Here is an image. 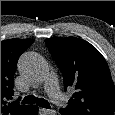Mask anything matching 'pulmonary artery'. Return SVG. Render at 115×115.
I'll return each instance as SVG.
<instances>
[{
	"mask_svg": "<svg viewBox=\"0 0 115 115\" xmlns=\"http://www.w3.org/2000/svg\"><path fill=\"white\" fill-rule=\"evenodd\" d=\"M44 88L52 100L58 104H61L65 101L64 95L60 92L56 80V76L52 72H47L44 77Z\"/></svg>",
	"mask_w": 115,
	"mask_h": 115,
	"instance_id": "pulmonary-artery-1",
	"label": "pulmonary artery"
}]
</instances>
